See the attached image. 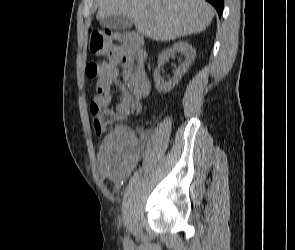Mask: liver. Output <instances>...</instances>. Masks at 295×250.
Segmentation results:
<instances>
[{
    "mask_svg": "<svg viewBox=\"0 0 295 250\" xmlns=\"http://www.w3.org/2000/svg\"><path fill=\"white\" fill-rule=\"evenodd\" d=\"M128 15L136 30L155 41H169L206 30L214 17L204 0H100L97 19Z\"/></svg>",
    "mask_w": 295,
    "mask_h": 250,
    "instance_id": "liver-1",
    "label": "liver"
}]
</instances>
